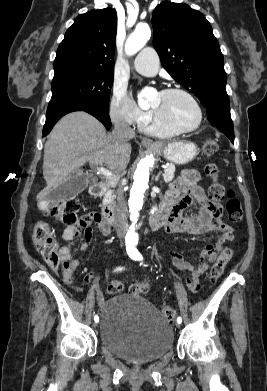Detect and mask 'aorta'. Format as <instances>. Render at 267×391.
<instances>
[{
	"mask_svg": "<svg viewBox=\"0 0 267 391\" xmlns=\"http://www.w3.org/2000/svg\"><path fill=\"white\" fill-rule=\"evenodd\" d=\"M151 37V30L147 24H139L129 35L125 43V53L128 56L135 55L140 51ZM147 90L138 93V103L142 105L146 102ZM154 163L153 154L146 155L137 164L133 175V184L130 191L129 211L131 224L127 233L128 250L136 252L138 234L136 231L139 212L147 195L150 169Z\"/></svg>",
	"mask_w": 267,
	"mask_h": 391,
	"instance_id": "1",
	"label": "aorta"
}]
</instances>
